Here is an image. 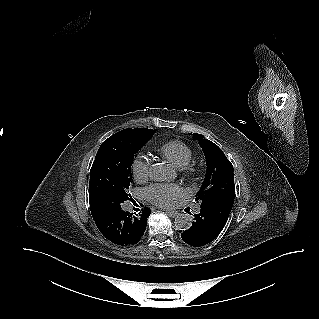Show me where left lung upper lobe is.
<instances>
[{
  "mask_svg": "<svg viewBox=\"0 0 319 319\" xmlns=\"http://www.w3.org/2000/svg\"><path fill=\"white\" fill-rule=\"evenodd\" d=\"M206 157V175L196 201L206 204L218 200L235 199L233 166L222 150L201 134H193Z\"/></svg>",
  "mask_w": 319,
  "mask_h": 319,
  "instance_id": "obj_1",
  "label": "left lung upper lobe"
}]
</instances>
